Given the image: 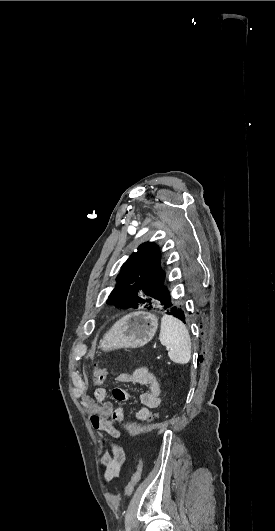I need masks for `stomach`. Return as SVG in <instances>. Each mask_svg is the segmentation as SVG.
I'll use <instances>...</instances> for the list:
<instances>
[{"label":"stomach","instance_id":"stomach-1","mask_svg":"<svg viewBox=\"0 0 275 531\" xmlns=\"http://www.w3.org/2000/svg\"><path fill=\"white\" fill-rule=\"evenodd\" d=\"M158 329V317L146 311H136L116 321L100 341L101 351L137 349L152 341Z\"/></svg>","mask_w":275,"mask_h":531}]
</instances>
